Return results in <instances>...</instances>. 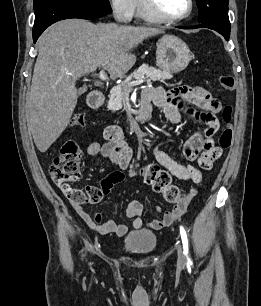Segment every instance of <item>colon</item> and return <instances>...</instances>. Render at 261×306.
Masks as SVG:
<instances>
[{
    "instance_id": "obj_1",
    "label": "colon",
    "mask_w": 261,
    "mask_h": 306,
    "mask_svg": "<svg viewBox=\"0 0 261 306\" xmlns=\"http://www.w3.org/2000/svg\"><path fill=\"white\" fill-rule=\"evenodd\" d=\"M220 85L225 90H232L235 87V80L232 76L224 75L220 77ZM222 118L225 127L219 137V147L227 149L231 146L233 140V129L231 126L232 109L226 106L222 111ZM86 123L85 116L81 113L74 115L72 125L74 127H84ZM81 156L82 152L78 144L73 140L65 141L50 166L51 179L68 191V196L74 201L85 203H98L104 195L101 187H89L85 191L75 190L69 186L70 182H75L81 177ZM141 177L150 185L155 192L161 193L167 202L174 203L183 197L180 190L171 184V176L167 171L160 169L157 164L151 163L144 165L139 170ZM123 179V175L114 172L109 175V180L118 182ZM196 195L195 190L190 191L186 196L192 198Z\"/></svg>"
}]
</instances>
